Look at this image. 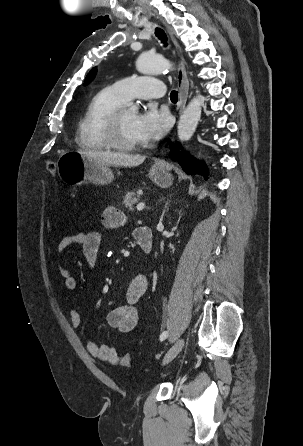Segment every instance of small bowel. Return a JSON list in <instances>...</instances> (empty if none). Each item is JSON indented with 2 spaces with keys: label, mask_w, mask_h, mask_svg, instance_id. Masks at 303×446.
I'll list each match as a JSON object with an SVG mask.
<instances>
[{
  "label": "small bowel",
  "mask_w": 303,
  "mask_h": 446,
  "mask_svg": "<svg viewBox=\"0 0 303 446\" xmlns=\"http://www.w3.org/2000/svg\"><path fill=\"white\" fill-rule=\"evenodd\" d=\"M102 222L107 228H116L125 222L123 213L115 207L107 208L102 216ZM102 243V236L95 231H79L75 234L63 237L57 244V254H62L68 248L79 245L82 248L83 256L90 267L95 266L99 250ZM58 273L64 281L67 291H74L78 282L70 271L58 265ZM148 288V278L145 274H137L130 281L126 290V303L122 306L112 309L107 314V323L109 326L117 329L121 333L132 331L138 323L137 303L145 294ZM70 318L74 327H79L82 323V316L76 309L70 310ZM87 352L99 359L112 365L117 363L116 350L108 345H99L93 341L86 344Z\"/></svg>",
  "instance_id": "obj_1"
}]
</instances>
